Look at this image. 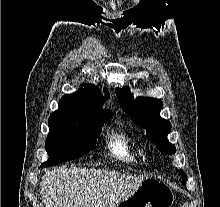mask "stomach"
<instances>
[{
	"mask_svg": "<svg viewBox=\"0 0 220 207\" xmlns=\"http://www.w3.org/2000/svg\"><path fill=\"white\" fill-rule=\"evenodd\" d=\"M173 202V191L166 183L147 177L116 207H171Z\"/></svg>",
	"mask_w": 220,
	"mask_h": 207,
	"instance_id": "obj_1",
	"label": "stomach"
}]
</instances>
